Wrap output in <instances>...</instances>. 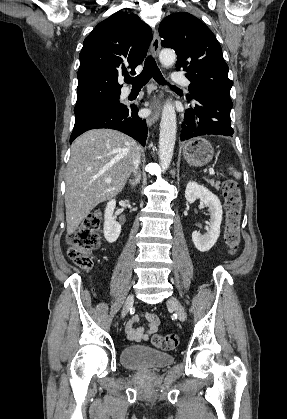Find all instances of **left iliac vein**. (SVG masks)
<instances>
[{"label": "left iliac vein", "instance_id": "left-iliac-vein-1", "mask_svg": "<svg viewBox=\"0 0 287 419\" xmlns=\"http://www.w3.org/2000/svg\"><path fill=\"white\" fill-rule=\"evenodd\" d=\"M167 305L174 310L180 321H184L186 319L184 308L176 297H171L168 300Z\"/></svg>", "mask_w": 287, "mask_h": 419}]
</instances>
